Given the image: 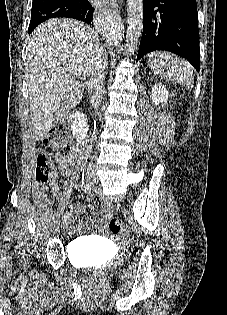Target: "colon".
Wrapping results in <instances>:
<instances>
[{
	"mask_svg": "<svg viewBox=\"0 0 227 315\" xmlns=\"http://www.w3.org/2000/svg\"><path fill=\"white\" fill-rule=\"evenodd\" d=\"M44 145L59 153H67L70 146V134L66 127L57 126L51 129L44 140ZM53 172V165L48 152L43 148H38L35 152V167L33 180L36 184H46ZM110 231L114 234L129 236L130 230L119 219H112L109 223Z\"/></svg>",
	"mask_w": 227,
	"mask_h": 315,
	"instance_id": "1",
	"label": "colon"
}]
</instances>
